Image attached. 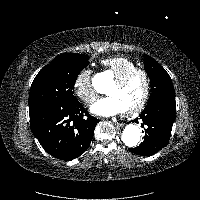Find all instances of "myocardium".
I'll return each mask as SVG.
<instances>
[{"label":"myocardium","mask_w":200,"mask_h":200,"mask_svg":"<svg viewBox=\"0 0 200 200\" xmlns=\"http://www.w3.org/2000/svg\"><path fill=\"white\" fill-rule=\"evenodd\" d=\"M137 75H141L144 78V82H145L144 93H143V96L140 99V101L135 106L122 112L125 116H132L134 114H137L145 107V105L150 97V93H151L150 76L145 70L137 68V69H134V70H131V71L125 73L124 75H122L121 77H119L118 79H116L113 82V84L116 87H121Z\"/></svg>","instance_id":"1"}]
</instances>
